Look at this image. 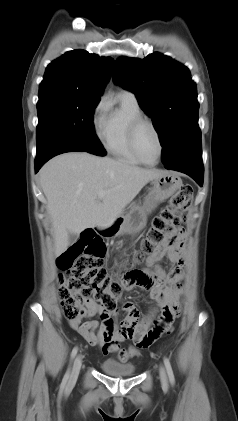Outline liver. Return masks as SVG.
Instances as JSON below:
<instances>
[{"label": "liver", "instance_id": "1", "mask_svg": "<svg viewBox=\"0 0 238 421\" xmlns=\"http://www.w3.org/2000/svg\"><path fill=\"white\" fill-rule=\"evenodd\" d=\"M163 173L86 152L61 154L47 162L39 177L52 218L56 255L70 245L69 233L111 226L141 189ZM99 191H104L101 199Z\"/></svg>", "mask_w": 238, "mask_h": 421}]
</instances>
